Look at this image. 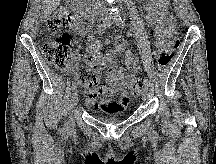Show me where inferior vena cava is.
I'll return each instance as SVG.
<instances>
[{
	"instance_id": "1",
	"label": "inferior vena cava",
	"mask_w": 216,
	"mask_h": 164,
	"mask_svg": "<svg viewBox=\"0 0 216 164\" xmlns=\"http://www.w3.org/2000/svg\"><path fill=\"white\" fill-rule=\"evenodd\" d=\"M100 4L99 5H103L104 0H97Z\"/></svg>"
}]
</instances>
